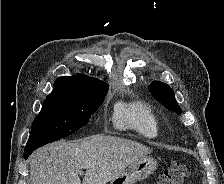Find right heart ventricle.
Returning <instances> with one entry per match:
<instances>
[{
	"mask_svg": "<svg viewBox=\"0 0 224 184\" xmlns=\"http://www.w3.org/2000/svg\"><path fill=\"white\" fill-rule=\"evenodd\" d=\"M114 124L119 129H132L148 139H156L161 122L153 110L142 102L119 103L115 108Z\"/></svg>",
	"mask_w": 224,
	"mask_h": 184,
	"instance_id": "obj_1",
	"label": "right heart ventricle"
}]
</instances>
